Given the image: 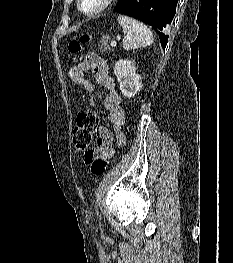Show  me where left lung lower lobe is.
I'll list each match as a JSON object with an SVG mask.
<instances>
[{
	"instance_id": "left-lung-lower-lobe-1",
	"label": "left lung lower lobe",
	"mask_w": 233,
	"mask_h": 263,
	"mask_svg": "<svg viewBox=\"0 0 233 263\" xmlns=\"http://www.w3.org/2000/svg\"><path fill=\"white\" fill-rule=\"evenodd\" d=\"M177 3L178 0H119L113 11L151 25L165 48L168 36L164 31L175 16Z\"/></svg>"
}]
</instances>
